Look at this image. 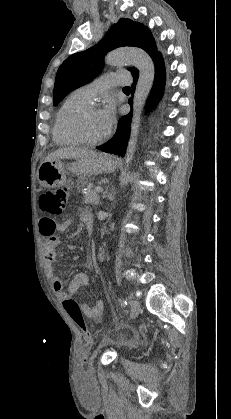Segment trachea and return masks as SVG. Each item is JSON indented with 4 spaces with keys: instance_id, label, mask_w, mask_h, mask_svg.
<instances>
[{
    "instance_id": "3493384b",
    "label": "trachea",
    "mask_w": 231,
    "mask_h": 419,
    "mask_svg": "<svg viewBox=\"0 0 231 419\" xmlns=\"http://www.w3.org/2000/svg\"><path fill=\"white\" fill-rule=\"evenodd\" d=\"M124 90H130V87H124Z\"/></svg>"
}]
</instances>
